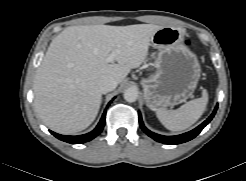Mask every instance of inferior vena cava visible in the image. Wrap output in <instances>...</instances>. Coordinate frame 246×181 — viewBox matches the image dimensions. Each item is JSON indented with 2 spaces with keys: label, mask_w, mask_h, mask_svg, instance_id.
I'll list each match as a JSON object with an SVG mask.
<instances>
[{
  "label": "inferior vena cava",
  "mask_w": 246,
  "mask_h": 181,
  "mask_svg": "<svg viewBox=\"0 0 246 181\" xmlns=\"http://www.w3.org/2000/svg\"><path fill=\"white\" fill-rule=\"evenodd\" d=\"M117 86V81L110 75H103L98 81V89L101 93L106 94L114 90Z\"/></svg>",
  "instance_id": "obj_1"
}]
</instances>
